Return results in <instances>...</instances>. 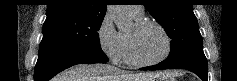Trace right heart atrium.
Listing matches in <instances>:
<instances>
[{"label": "right heart atrium", "mask_w": 237, "mask_h": 81, "mask_svg": "<svg viewBox=\"0 0 237 81\" xmlns=\"http://www.w3.org/2000/svg\"><path fill=\"white\" fill-rule=\"evenodd\" d=\"M98 42L103 53L114 63L122 60L124 44L122 35L118 32L109 16H105L97 31Z\"/></svg>", "instance_id": "d8ad5b80"}]
</instances>
